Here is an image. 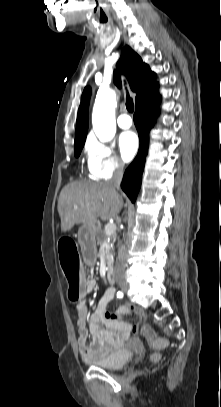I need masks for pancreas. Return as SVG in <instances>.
<instances>
[{
    "instance_id": "cf45deb5",
    "label": "pancreas",
    "mask_w": 221,
    "mask_h": 407,
    "mask_svg": "<svg viewBox=\"0 0 221 407\" xmlns=\"http://www.w3.org/2000/svg\"><path fill=\"white\" fill-rule=\"evenodd\" d=\"M106 238H107V235H106L105 231L101 232L100 238L98 239V244L102 245L103 242L106 240Z\"/></svg>"
}]
</instances>
